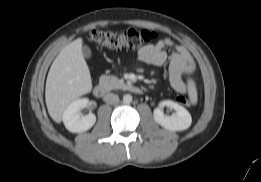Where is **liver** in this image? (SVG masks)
I'll list each match as a JSON object with an SVG mask.
<instances>
[{"label":"liver","mask_w":261,"mask_h":182,"mask_svg":"<svg viewBox=\"0 0 261 182\" xmlns=\"http://www.w3.org/2000/svg\"><path fill=\"white\" fill-rule=\"evenodd\" d=\"M91 90V75L82 54V38H77L60 51L48 72L45 101L50 117L60 123L66 107Z\"/></svg>","instance_id":"liver-1"}]
</instances>
